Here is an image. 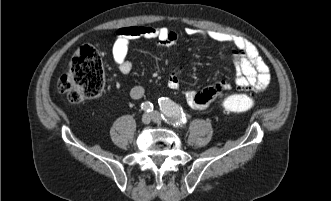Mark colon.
Returning a JSON list of instances; mask_svg holds the SVG:
<instances>
[{"label":"colon","mask_w":331,"mask_h":201,"mask_svg":"<svg viewBox=\"0 0 331 201\" xmlns=\"http://www.w3.org/2000/svg\"><path fill=\"white\" fill-rule=\"evenodd\" d=\"M57 89L72 103L102 94L105 89L103 62L93 47L86 45L75 52L68 70L58 79ZM254 105L255 99L248 91L227 96L222 101V108L231 113L248 111Z\"/></svg>","instance_id":"1"}]
</instances>
